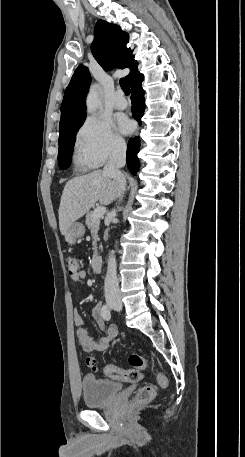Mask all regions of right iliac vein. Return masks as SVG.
I'll list each match as a JSON object with an SVG mask.
<instances>
[{
	"label": "right iliac vein",
	"instance_id": "obj_1",
	"mask_svg": "<svg viewBox=\"0 0 245 457\" xmlns=\"http://www.w3.org/2000/svg\"><path fill=\"white\" fill-rule=\"evenodd\" d=\"M106 301L110 307H113L116 310H120L122 308V302L118 296H116V297L107 296Z\"/></svg>",
	"mask_w": 245,
	"mask_h": 457
}]
</instances>
